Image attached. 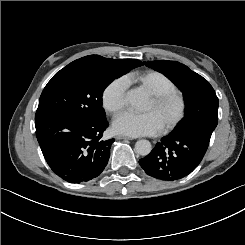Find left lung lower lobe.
<instances>
[{
    "instance_id": "obj_1",
    "label": "left lung lower lobe",
    "mask_w": 245,
    "mask_h": 245,
    "mask_svg": "<svg viewBox=\"0 0 245 245\" xmlns=\"http://www.w3.org/2000/svg\"><path fill=\"white\" fill-rule=\"evenodd\" d=\"M200 108L186 111L175 129L139 160L146 174L163 181L189 175L201 162L218 123V98L215 92L197 103Z\"/></svg>"
}]
</instances>
